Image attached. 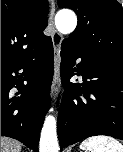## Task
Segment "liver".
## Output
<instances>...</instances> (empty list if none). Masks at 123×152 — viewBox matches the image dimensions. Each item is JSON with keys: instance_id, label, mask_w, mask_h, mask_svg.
<instances>
[{"instance_id": "liver-1", "label": "liver", "mask_w": 123, "mask_h": 152, "mask_svg": "<svg viewBox=\"0 0 123 152\" xmlns=\"http://www.w3.org/2000/svg\"><path fill=\"white\" fill-rule=\"evenodd\" d=\"M21 144L11 138L1 137V152H21Z\"/></svg>"}]
</instances>
